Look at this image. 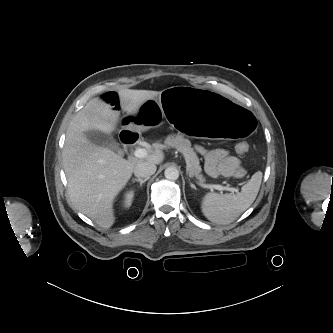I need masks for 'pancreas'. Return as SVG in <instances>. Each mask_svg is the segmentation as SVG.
<instances>
[{
	"instance_id": "1",
	"label": "pancreas",
	"mask_w": 333,
	"mask_h": 333,
	"mask_svg": "<svg viewBox=\"0 0 333 333\" xmlns=\"http://www.w3.org/2000/svg\"><path fill=\"white\" fill-rule=\"evenodd\" d=\"M165 147H173L181 152L186 160L187 172L190 177H196L200 182H204V177L200 174L201 167L199 165V158L191 148L190 140L184 138L182 135H169L165 140Z\"/></svg>"
}]
</instances>
